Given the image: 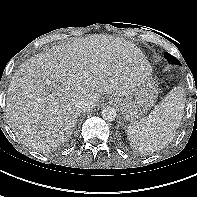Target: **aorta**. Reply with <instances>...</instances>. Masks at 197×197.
Wrapping results in <instances>:
<instances>
[{
  "mask_svg": "<svg viewBox=\"0 0 197 197\" xmlns=\"http://www.w3.org/2000/svg\"><path fill=\"white\" fill-rule=\"evenodd\" d=\"M116 110L113 107H105L101 111V116L104 120L114 121L116 118Z\"/></svg>",
  "mask_w": 197,
  "mask_h": 197,
  "instance_id": "aorta-1",
  "label": "aorta"
}]
</instances>
